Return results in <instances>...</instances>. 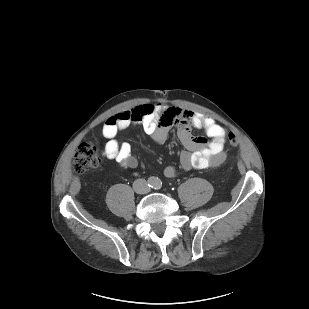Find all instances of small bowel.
<instances>
[{
	"mask_svg": "<svg viewBox=\"0 0 309 309\" xmlns=\"http://www.w3.org/2000/svg\"><path fill=\"white\" fill-rule=\"evenodd\" d=\"M131 125L142 126L157 144L164 143L171 129L175 127L178 139L184 147L180 154V165L185 171L218 167L226 159V129L212 118L163 103H144L110 117L103 126L102 134L106 139L103 155L121 166L135 168L138 165L131 145L115 139L118 131ZM193 129L203 130L209 141L193 136ZM175 174L176 170L172 166L164 170V175L168 178Z\"/></svg>",
	"mask_w": 309,
	"mask_h": 309,
	"instance_id": "small-bowel-1",
	"label": "small bowel"
}]
</instances>
